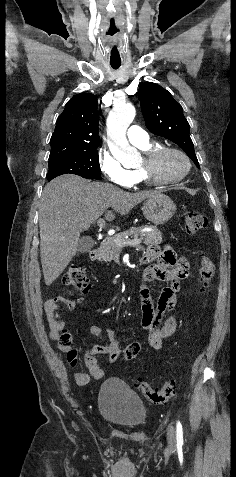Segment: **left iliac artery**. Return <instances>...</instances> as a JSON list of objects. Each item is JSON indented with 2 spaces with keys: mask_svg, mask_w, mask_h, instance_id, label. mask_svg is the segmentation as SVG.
<instances>
[{
  "mask_svg": "<svg viewBox=\"0 0 236 477\" xmlns=\"http://www.w3.org/2000/svg\"><path fill=\"white\" fill-rule=\"evenodd\" d=\"M176 433L177 442L183 444V427L179 421L177 422Z\"/></svg>",
  "mask_w": 236,
  "mask_h": 477,
  "instance_id": "44dca946",
  "label": "left iliac artery"
}]
</instances>
